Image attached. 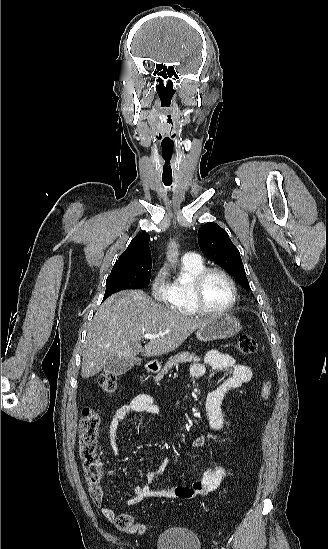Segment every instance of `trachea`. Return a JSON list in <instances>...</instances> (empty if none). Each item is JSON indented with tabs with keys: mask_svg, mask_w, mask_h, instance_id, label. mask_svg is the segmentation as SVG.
<instances>
[{
	"mask_svg": "<svg viewBox=\"0 0 328 549\" xmlns=\"http://www.w3.org/2000/svg\"><path fill=\"white\" fill-rule=\"evenodd\" d=\"M163 183H164L165 185H171L172 181H165V180H163Z\"/></svg>",
	"mask_w": 328,
	"mask_h": 549,
	"instance_id": "3493384b",
	"label": "trachea"
}]
</instances>
